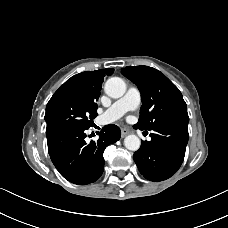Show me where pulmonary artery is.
I'll return each instance as SVG.
<instances>
[{
	"label": "pulmonary artery",
	"mask_w": 228,
	"mask_h": 228,
	"mask_svg": "<svg viewBox=\"0 0 228 228\" xmlns=\"http://www.w3.org/2000/svg\"><path fill=\"white\" fill-rule=\"evenodd\" d=\"M141 103V93L136 87H130L125 95L115 101L102 115L97 119L100 125H106L120 119L128 111L138 108Z\"/></svg>",
	"instance_id": "1"
}]
</instances>
